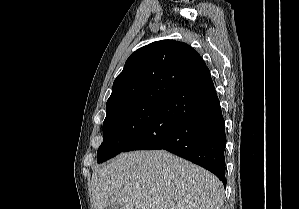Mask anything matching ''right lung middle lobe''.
Masks as SVG:
<instances>
[{"label": "right lung middle lobe", "mask_w": 299, "mask_h": 209, "mask_svg": "<svg viewBox=\"0 0 299 209\" xmlns=\"http://www.w3.org/2000/svg\"><path fill=\"white\" fill-rule=\"evenodd\" d=\"M162 103L143 101L106 110L104 139L97 152V162L102 163L121 153L146 127Z\"/></svg>", "instance_id": "dd1d6c3e"}]
</instances>
